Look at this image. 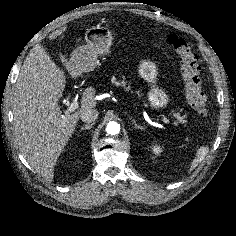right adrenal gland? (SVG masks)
Segmentation results:
<instances>
[{
  "mask_svg": "<svg viewBox=\"0 0 236 236\" xmlns=\"http://www.w3.org/2000/svg\"><path fill=\"white\" fill-rule=\"evenodd\" d=\"M94 124H95L94 122L91 123V124H86V125H84V126L81 127V130H80V131L89 130V129H91V128L93 127Z\"/></svg>",
  "mask_w": 236,
  "mask_h": 236,
  "instance_id": "2a0ac1e0",
  "label": "right adrenal gland"
}]
</instances>
